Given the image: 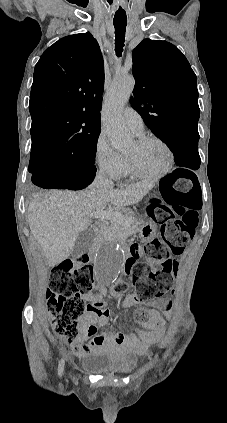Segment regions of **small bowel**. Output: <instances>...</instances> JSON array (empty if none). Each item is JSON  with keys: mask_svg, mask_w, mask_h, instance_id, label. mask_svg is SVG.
Listing matches in <instances>:
<instances>
[{"mask_svg": "<svg viewBox=\"0 0 227 423\" xmlns=\"http://www.w3.org/2000/svg\"><path fill=\"white\" fill-rule=\"evenodd\" d=\"M104 295L105 289L101 286H98L93 293L86 295L85 298L89 303L81 321L80 331L74 341L70 343L73 352L82 358L99 350L113 351L120 347L143 353L146 350V345L139 341L136 333L132 330H128L127 334H124L113 329H106L97 334V326H106L110 315V311L106 308L103 300ZM114 295L123 308L143 304V301L136 294L126 297H121L116 293ZM152 305L165 312H170L172 309L170 299H159L152 302ZM144 327L148 330H156L158 334L154 338H157L163 332L164 319L159 313L153 312ZM88 338L91 339L86 342Z\"/></svg>", "mask_w": 227, "mask_h": 423, "instance_id": "obj_1", "label": "small bowel"}]
</instances>
